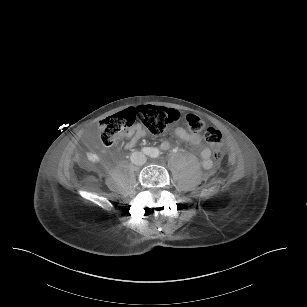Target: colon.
<instances>
[{
    "instance_id": "obj_1",
    "label": "colon",
    "mask_w": 307,
    "mask_h": 307,
    "mask_svg": "<svg viewBox=\"0 0 307 307\" xmlns=\"http://www.w3.org/2000/svg\"><path fill=\"white\" fill-rule=\"evenodd\" d=\"M126 116H133L134 122L141 123L154 135L162 134L168 125L177 122L183 116L185 123L193 132L204 130L205 140L211 147L214 157L216 159L223 157L222 133L212 127L205 129V123L201 117L190 112L181 113L172 108H158L148 105L124 110L118 114L103 118L100 121L99 130L100 138L105 146L114 145L124 129L134 123H126L124 120Z\"/></svg>"
}]
</instances>
